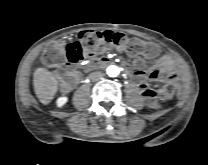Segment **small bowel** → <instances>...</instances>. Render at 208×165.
I'll use <instances>...</instances> for the list:
<instances>
[{
    "label": "small bowel",
    "mask_w": 208,
    "mask_h": 165,
    "mask_svg": "<svg viewBox=\"0 0 208 165\" xmlns=\"http://www.w3.org/2000/svg\"><path fill=\"white\" fill-rule=\"evenodd\" d=\"M151 58L150 56H146ZM153 57V56H152ZM111 61L109 56H96L89 59V63L92 66L96 64H108ZM124 67H127L126 62H122ZM133 66L136 69L133 73L134 79L139 83L143 97L145 98L149 106H154L155 92L148 83V76L143 71L145 66L144 60L141 57H137L133 60ZM151 71L149 78L151 80H159L162 82H174L177 79V68L168 55L160 56L154 63L147 66ZM68 72V80L70 82H77L79 80V72L77 71V64L74 61L67 62L65 66Z\"/></svg>",
    "instance_id": "obj_1"
}]
</instances>
